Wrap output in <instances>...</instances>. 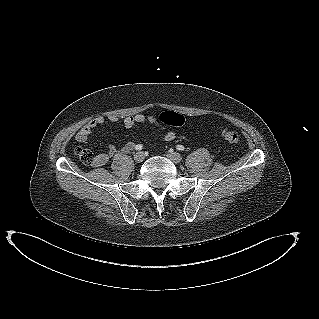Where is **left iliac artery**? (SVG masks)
Wrapping results in <instances>:
<instances>
[{
    "mask_svg": "<svg viewBox=\"0 0 319 319\" xmlns=\"http://www.w3.org/2000/svg\"><path fill=\"white\" fill-rule=\"evenodd\" d=\"M177 149L180 150V151H183L185 149V147L182 146V145H177Z\"/></svg>",
    "mask_w": 319,
    "mask_h": 319,
    "instance_id": "1",
    "label": "left iliac artery"
}]
</instances>
